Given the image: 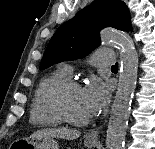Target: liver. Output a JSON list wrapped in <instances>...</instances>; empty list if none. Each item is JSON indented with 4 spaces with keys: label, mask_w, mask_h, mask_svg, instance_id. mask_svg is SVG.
Returning <instances> with one entry per match:
<instances>
[{
    "label": "liver",
    "mask_w": 155,
    "mask_h": 149,
    "mask_svg": "<svg viewBox=\"0 0 155 149\" xmlns=\"http://www.w3.org/2000/svg\"><path fill=\"white\" fill-rule=\"evenodd\" d=\"M41 136L73 140L80 137V132L77 130H71L67 128H48L34 132L30 136V138H36Z\"/></svg>",
    "instance_id": "6515ba94"
}]
</instances>
